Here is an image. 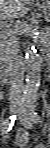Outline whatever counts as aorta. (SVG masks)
<instances>
[{
  "instance_id": "1",
  "label": "aorta",
  "mask_w": 50,
  "mask_h": 148,
  "mask_svg": "<svg viewBox=\"0 0 50 148\" xmlns=\"http://www.w3.org/2000/svg\"><path fill=\"white\" fill-rule=\"evenodd\" d=\"M27 76L22 101L24 104L35 102L40 84V62L34 46L26 49Z\"/></svg>"
}]
</instances>
